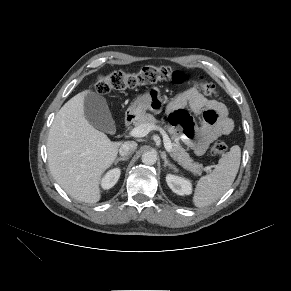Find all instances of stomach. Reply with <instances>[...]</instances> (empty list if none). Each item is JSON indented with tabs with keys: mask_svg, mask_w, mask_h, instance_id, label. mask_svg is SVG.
Masks as SVG:
<instances>
[{
	"mask_svg": "<svg viewBox=\"0 0 291 291\" xmlns=\"http://www.w3.org/2000/svg\"><path fill=\"white\" fill-rule=\"evenodd\" d=\"M163 99L159 88L152 87L148 89L143 95L137 97V99L131 103L128 108L129 114L140 118L145 114L147 110L152 112H159L162 109Z\"/></svg>",
	"mask_w": 291,
	"mask_h": 291,
	"instance_id": "stomach-1",
	"label": "stomach"
}]
</instances>
